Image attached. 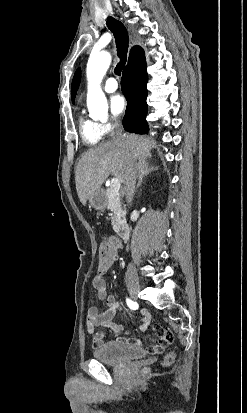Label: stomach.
<instances>
[{"label": "stomach", "mask_w": 247, "mask_h": 413, "mask_svg": "<svg viewBox=\"0 0 247 413\" xmlns=\"http://www.w3.org/2000/svg\"><path fill=\"white\" fill-rule=\"evenodd\" d=\"M90 207L96 209V211H104L108 204V198L105 190L103 188H98L95 192H92L90 196H88Z\"/></svg>", "instance_id": "1"}]
</instances>
